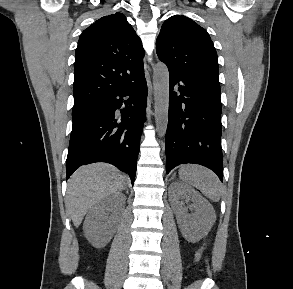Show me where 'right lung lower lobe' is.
Segmentation results:
<instances>
[{
	"instance_id": "98d812e1",
	"label": "right lung lower lobe",
	"mask_w": 293,
	"mask_h": 289,
	"mask_svg": "<svg viewBox=\"0 0 293 289\" xmlns=\"http://www.w3.org/2000/svg\"><path fill=\"white\" fill-rule=\"evenodd\" d=\"M146 103L147 84L142 75L130 86L72 112L66 179L84 164L107 162L126 171L133 184ZM122 105L125 108L119 111Z\"/></svg>"
}]
</instances>
